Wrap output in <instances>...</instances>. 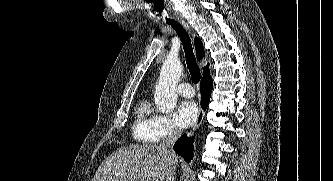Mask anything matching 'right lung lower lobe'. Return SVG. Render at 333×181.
<instances>
[{"instance_id": "right-lung-lower-lobe-1", "label": "right lung lower lobe", "mask_w": 333, "mask_h": 181, "mask_svg": "<svg viewBox=\"0 0 333 181\" xmlns=\"http://www.w3.org/2000/svg\"><path fill=\"white\" fill-rule=\"evenodd\" d=\"M213 82L211 77L203 78L200 85V91L202 95V107L206 109L209 104L211 91H212ZM193 141L194 137L188 138L186 135L180 137L175 145L174 150L175 152L183 157L188 163L193 158Z\"/></svg>"}]
</instances>
